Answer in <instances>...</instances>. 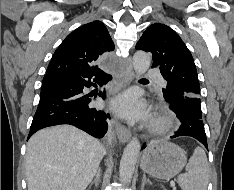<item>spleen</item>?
Listing matches in <instances>:
<instances>
[{"label": "spleen", "mask_w": 234, "mask_h": 190, "mask_svg": "<svg viewBox=\"0 0 234 190\" xmlns=\"http://www.w3.org/2000/svg\"><path fill=\"white\" fill-rule=\"evenodd\" d=\"M182 190H207L209 166L205 151L201 147L194 150L186 166V173L178 176Z\"/></svg>", "instance_id": "spleen-1"}]
</instances>
